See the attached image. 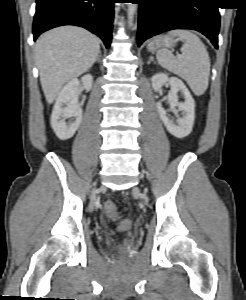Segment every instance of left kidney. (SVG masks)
<instances>
[{"label":"left kidney","mask_w":246,"mask_h":300,"mask_svg":"<svg viewBox=\"0 0 246 300\" xmlns=\"http://www.w3.org/2000/svg\"><path fill=\"white\" fill-rule=\"evenodd\" d=\"M152 88L159 91L162 86L168 83L171 86L169 94L164 98L170 104V108L175 110L176 107L182 111V117L175 123L167 116V111L162 107L161 101L157 103L158 112L162 122L170 134L177 138L188 136L193 128L195 119V101L186 85L176 77H168L166 74L158 73L151 78ZM181 91L185 101L179 102L177 93Z\"/></svg>","instance_id":"left-kidney-1"}]
</instances>
